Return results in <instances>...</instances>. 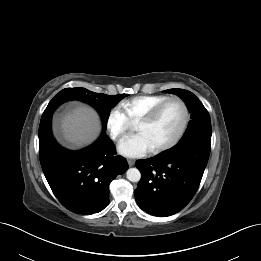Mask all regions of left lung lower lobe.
Wrapping results in <instances>:
<instances>
[{
    "label": "left lung lower lobe",
    "mask_w": 261,
    "mask_h": 261,
    "mask_svg": "<svg viewBox=\"0 0 261 261\" xmlns=\"http://www.w3.org/2000/svg\"><path fill=\"white\" fill-rule=\"evenodd\" d=\"M211 139L179 141L153 158L136 161L141 180L135 190L139 207L155 216H170L195 195L210 154Z\"/></svg>",
    "instance_id": "0a47b994"
}]
</instances>
